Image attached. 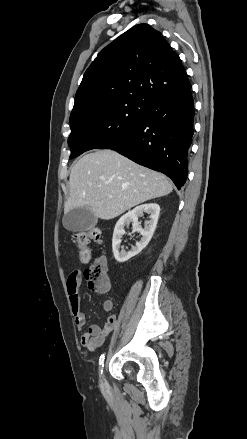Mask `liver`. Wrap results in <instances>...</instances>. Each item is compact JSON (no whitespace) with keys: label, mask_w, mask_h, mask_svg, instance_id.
Wrapping results in <instances>:
<instances>
[{"label":"liver","mask_w":247,"mask_h":439,"mask_svg":"<svg viewBox=\"0 0 247 439\" xmlns=\"http://www.w3.org/2000/svg\"><path fill=\"white\" fill-rule=\"evenodd\" d=\"M69 186L65 214L87 207L104 220L172 192V184L165 175L108 149L80 158L71 169Z\"/></svg>","instance_id":"6515ba94"}]
</instances>
